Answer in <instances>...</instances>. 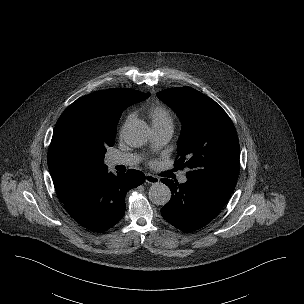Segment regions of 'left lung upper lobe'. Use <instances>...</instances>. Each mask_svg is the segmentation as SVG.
Segmentation results:
<instances>
[{
    "instance_id": "obj_1",
    "label": "left lung upper lobe",
    "mask_w": 304,
    "mask_h": 304,
    "mask_svg": "<svg viewBox=\"0 0 304 304\" xmlns=\"http://www.w3.org/2000/svg\"><path fill=\"white\" fill-rule=\"evenodd\" d=\"M182 122L178 160L174 167L190 168L188 180L233 192L239 170V141L226 112L211 98L190 87L157 93Z\"/></svg>"
}]
</instances>
